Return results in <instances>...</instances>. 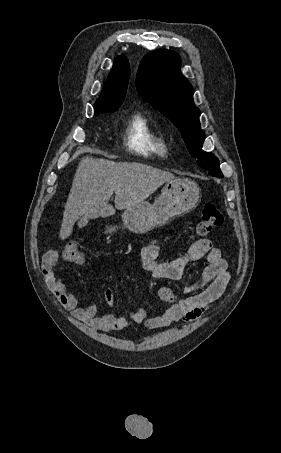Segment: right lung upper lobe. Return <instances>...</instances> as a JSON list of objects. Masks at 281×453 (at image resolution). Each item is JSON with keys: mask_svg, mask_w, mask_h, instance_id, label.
I'll use <instances>...</instances> for the list:
<instances>
[{"mask_svg": "<svg viewBox=\"0 0 281 453\" xmlns=\"http://www.w3.org/2000/svg\"><path fill=\"white\" fill-rule=\"evenodd\" d=\"M129 76V63L122 55L116 59L106 86L94 105L96 116L101 113L118 110L125 98Z\"/></svg>", "mask_w": 281, "mask_h": 453, "instance_id": "obj_1", "label": "right lung upper lobe"}]
</instances>
